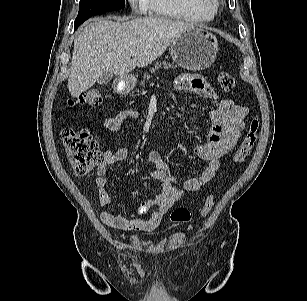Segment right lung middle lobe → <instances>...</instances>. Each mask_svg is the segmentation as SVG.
Returning <instances> with one entry per match:
<instances>
[{
    "label": "right lung middle lobe",
    "instance_id": "right-lung-middle-lobe-1",
    "mask_svg": "<svg viewBox=\"0 0 307 301\" xmlns=\"http://www.w3.org/2000/svg\"><path fill=\"white\" fill-rule=\"evenodd\" d=\"M125 5L124 0H80L75 26H79L93 15L118 10Z\"/></svg>",
    "mask_w": 307,
    "mask_h": 301
}]
</instances>
